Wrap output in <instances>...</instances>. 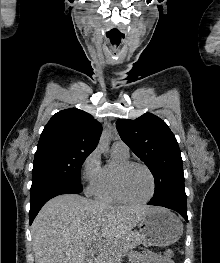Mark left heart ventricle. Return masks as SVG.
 <instances>
[{"label": "left heart ventricle", "mask_w": 220, "mask_h": 263, "mask_svg": "<svg viewBox=\"0 0 220 263\" xmlns=\"http://www.w3.org/2000/svg\"><path fill=\"white\" fill-rule=\"evenodd\" d=\"M125 195L132 200H142L151 191V180L148 173L139 166L127 169L122 177Z\"/></svg>", "instance_id": "b2bd125f"}]
</instances>
